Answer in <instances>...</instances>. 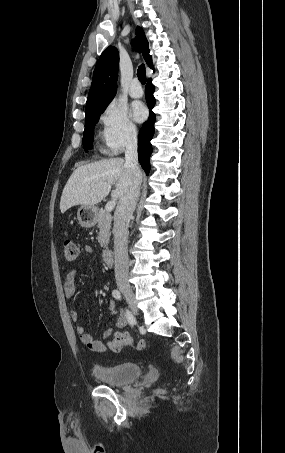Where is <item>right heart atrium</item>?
I'll return each mask as SVG.
<instances>
[{
    "mask_svg": "<svg viewBox=\"0 0 285 453\" xmlns=\"http://www.w3.org/2000/svg\"><path fill=\"white\" fill-rule=\"evenodd\" d=\"M101 122L103 125L102 139L107 153L119 154L136 141L137 127L127 110L121 105L115 102L110 103L101 115Z\"/></svg>",
    "mask_w": 285,
    "mask_h": 453,
    "instance_id": "1",
    "label": "right heart atrium"
}]
</instances>
